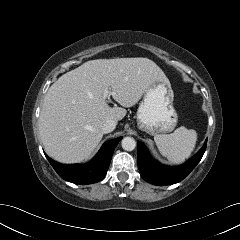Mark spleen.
Returning a JSON list of instances; mask_svg holds the SVG:
<instances>
[{
    "label": "spleen",
    "mask_w": 240,
    "mask_h": 240,
    "mask_svg": "<svg viewBox=\"0 0 240 240\" xmlns=\"http://www.w3.org/2000/svg\"><path fill=\"white\" fill-rule=\"evenodd\" d=\"M155 143L162 156L174 163H181L193 152L197 133L195 130L181 126L171 134H157Z\"/></svg>",
    "instance_id": "obj_1"
}]
</instances>
